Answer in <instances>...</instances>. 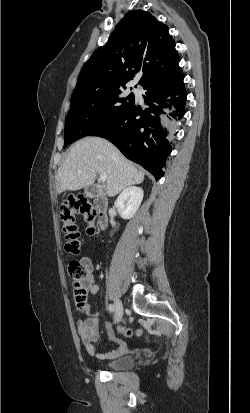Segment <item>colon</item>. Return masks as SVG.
I'll return each mask as SVG.
<instances>
[{
    "instance_id": "1",
    "label": "colon",
    "mask_w": 250,
    "mask_h": 413,
    "mask_svg": "<svg viewBox=\"0 0 250 413\" xmlns=\"http://www.w3.org/2000/svg\"><path fill=\"white\" fill-rule=\"evenodd\" d=\"M61 221L65 233V249L68 253L77 255L81 252L80 234L76 225V217L82 216L88 224V233H95V220L97 218L96 209L82 196L69 197L61 206ZM69 273L74 280V299L78 308L87 305V287L84 283L88 276L86 268L80 261H73L69 265ZM118 331L127 336L133 337L143 334L144 330H135L129 327H118Z\"/></svg>"
}]
</instances>
